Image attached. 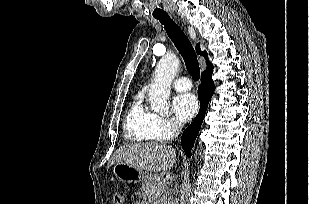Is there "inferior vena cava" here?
<instances>
[{"label":"inferior vena cava","instance_id":"inferior-vena-cava-1","mask_svg":"<svg viewBox=\"0 0 309 204\" xmlns=\"http://www.w3.org/2000/svg\"><path fill=\"white\" fill-rule=\"evenodd\" d=\"M182 129V124L181 123H176L175 128H174V135L177 136ZM170 204H175L173 201H170Z\"/></svg>","mask_w":309,"mask_h":204}]
</instances>
